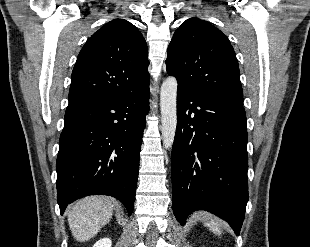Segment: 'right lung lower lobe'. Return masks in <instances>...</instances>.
<instances>
[{
  "label": "right lung lower lobe",
  "mask_w": 310,
  "mask_h": 247,
  "mask_svg": "<svg viewBox=\"0 0 310 247\" xmlns=\"http://www.w3.org/2000/svg\"><path fill=\"white\" fill-rule=\"evenodd\" d=\"M148 111L149 86L68 105L56 164L61 214L74 200L102 194L119 199L131 215Z\"/></svg>",
  "instance_id": "right-lung-lower-lobe-1"
}]
</instances>
